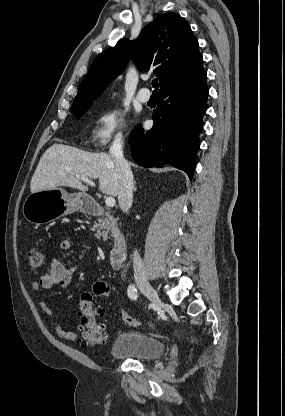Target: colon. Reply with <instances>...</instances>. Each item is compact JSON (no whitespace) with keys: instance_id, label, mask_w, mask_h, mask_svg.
<instances>
[{"instance_id":"obj_1","label":"colon","mask_w":285,"mask_h":416,"mask_svg":"<svg viewBox=\"0 0 285 416\" xmlns=\"http://www.w3.org/2000/svg\"><path fill=\"white\" fill-rule=\"evenodd\" d=\"M25 259L31 270L38 271L45 262L44 255L37 249H30L25 255ZM110 296L109 286L102 281L95 282L90 291L82 293L80 298V343L84 346H96L104 344L106 341L105 325L98 321L102 315L100 308L95 305V297ZM122 319L125 324L131 327H138L141 322L122 311Z\"/></svg>"}]
</instances>
